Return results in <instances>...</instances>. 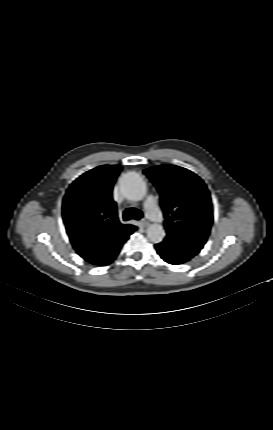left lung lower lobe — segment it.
Masks as SVG:
<instances>
[{"label": "left lung lower lobe", "instance_id": "0a47b994", "mask_svg": "<svg viewBox=\"0 0 273 430\" xmlns=\"http://www.w3.org/2000/svg\"><path fill=\"white\" fill-rule=\"evenodd\" d=\"M169 247L170 242L168 241H163L155 245L157 253L164 261L173 265L182 264L188 261L187 258L184 257L179 250L175 249L174 251H170Z\"/></svg>", "mask_w": 273, "mask_h": 430}]
</instances>
